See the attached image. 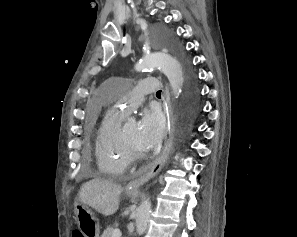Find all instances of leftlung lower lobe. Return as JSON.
Here are the masks:
<instances>
[{
    "mask_svg": "<svg viewBox=\"0 0 297 237\" xmlns=\"http://www.w3.org/2000/svg\"><path fill=\"white\" fill-rule=\"evenodd\" d=\"M192 110H193L192 99H190L188 104L186 105V112H191Z\"/></svg>",
    "mask_w": 297,
    "mask_h": 237,
    "instance_id": "1",
    "label": "left lung lower lobe"
}]
</instances>
